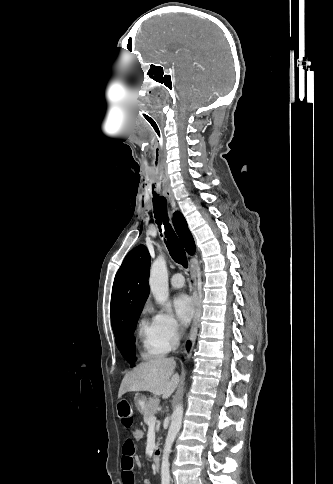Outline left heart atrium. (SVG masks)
Listing matches in <instances>:
<instances>
[{
  "mask_svg": "<svg viewBox=\"0 0 333 484\" xmlns=\"http://www.w3.org/2000/svg\"><path fill=\"white\" fill-rule=\"evenodd\" d=\"M174 310L183 324H188L194 315L193 300L186 294H178L173 302Z\"/></svg>",
  "mask_w": 333,
  "mask_h": 484,
  "instance_id": "left-heart-atrium-1",
  "label": "left heart atrium"
}]
</instances>
